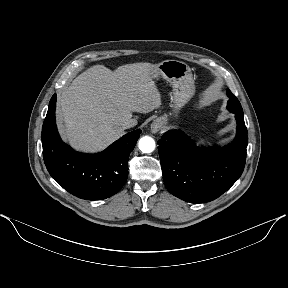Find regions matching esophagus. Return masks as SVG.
<instances>
[{"instance_id":"1","label":"esophagus","mask_w":288,"mask_h":288,"mask_svg":"<svg viewBox=\"0 0 288 288\" xmlns=\"http://www.w3.org/2000/svg\"><path fill=\"white\" fill-rule=\"evenodd\" d=\"M162 126H163L162 121L159 120V119H157V120H154V121L152 122L150 128H151V131H152L153 133H156V132H158V131L161 130Z\"/></svg>"}]
</instances>
